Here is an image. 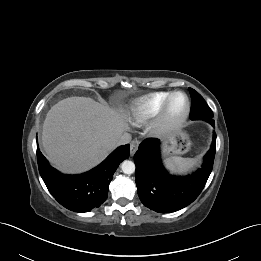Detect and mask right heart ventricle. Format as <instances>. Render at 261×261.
<instances>
[{"label": "right heart ventricle", "mask_w": 261, "mask_h": 261, "mask_svg": "<svg viewBox=\"0 0 261 261\" xmlns=\"http://www.w3.org/2000/svg\"><path fill=\"white\" fill-rule=\"evenodd\" d=\"M171 92H154L137 100L132 109V122L143 125L155 117L162 109Z\"/></svg>", "instance_id": "e07e8e85"}]
</instances>
